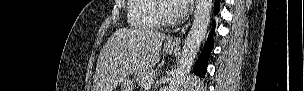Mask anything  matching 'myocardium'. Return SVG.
<instances>
[{
  "label": "myocardium",
  "mask_w": 304,
  "mask_h": 91,
  "mask_svg": "<svg viewBox=\"0 0 304 91\" xmlns=\"http://www.w3.org/2000/svg\"><path fill=\"white\" fill-rule=\"evenodd\" d=\"M171 2L170 0H157L154 5V15L157 22L162 26H170L176 24L180 16L177 15L176 17L167 16L164 12V3Z\"/></svg>",
  "instance_id": "f54148a6"
}]
</instances>
